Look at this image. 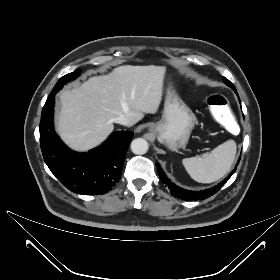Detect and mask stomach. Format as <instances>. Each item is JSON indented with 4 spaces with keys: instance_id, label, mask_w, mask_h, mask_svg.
Returning a JSON list of instances; mask_svg holds the SVG:
<instances>
[{
    "instance_id": "obj_1",
    "label": "stomach",
    "mask_w": 280,
    "mask_h": 280,
    "mask_svg": "<svg viewBox=\"0 0 280 280\" xmlns=\"http://www.w3.org/2000/svg\"><path fill=\"white\" fill-rule=\"evenodd\" d=\"M197 119L171 85L167 89L163 116L153 124L150 131L171 151L184 148Z\"/></svg>"
}]
</instances>
